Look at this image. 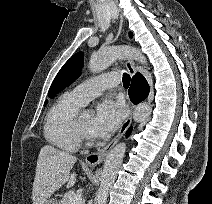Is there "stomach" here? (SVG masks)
I'll return each instance as SVG.
<instances>
[{"label": "stomach", "mask_w": 212, "mask_h": 204, "mask_svg": "<svg viewBox=\"0 0 212 204\" xmlns=\"http://www.w3.org/2000/svg\"><path fill=\"white\" fill-rule=\"evenodd\" d=\"M44 204H60L56 199H47Z\"/></svg>", "instance_id": "1"}]
</instances>
